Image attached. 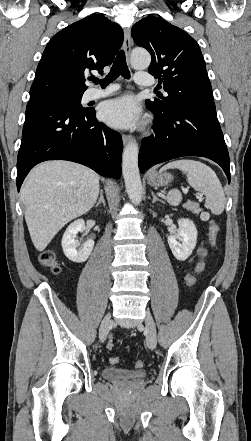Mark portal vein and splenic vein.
I'll list each match as a JSON object with an SVG mask.
<instances>
[{"instance_id": "obj_1", "label": "portal vein and splenic vein", "mask_w": 251, "mask_h": 441, "mask_svg": "<svg viewBox=\"0 0 251 441\" xmlns=\"http://www.w3.org/2000/svg\"><path fill=\"white\" fill-rule=\"evenodd\" d=\"M188 192V189H184V193H187Z\"/></svg>"}]
</instances>
